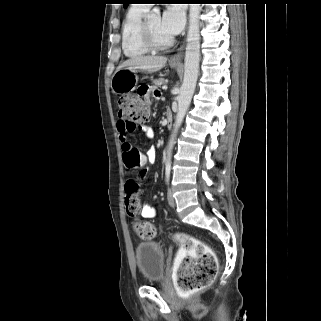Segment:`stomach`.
<instances>
[{
  "instance_id": "1",
  "label": "stomach",
  "mask_w": 321,
  "mask_h": 321,
  "mask_svg": "<svg viewBox=\"0 0 321 321\" xmlns=\"http://www.w3.org/2000/svg\"><path fill=\"white\" fill-rule=\"evenodd\" d=\"M176 67L177 63H171ZM138 83L137 70L120 69L115 72L111 80V88L115 94L125 95L135 90Z\"/></svg>"
}]
</instances>
